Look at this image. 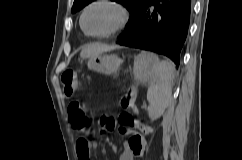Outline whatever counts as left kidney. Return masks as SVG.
I'll use <instances>...</instances> for the list:
<instances>
[{
	"label": "left kidney",
	"mask_w": 242,
	"mask_h": 160,
	"mask_svg": "<svg viewBox=\"0 0 242 160\" xmlns=\"http://www.w3.org/2000/svg\"><path fill=\"white\" fill-rule=\"evenodd\" d=\"M165 107L159 108L155 111H151L149 109V117L151 118L152 121L158 119L163 113H164Z\"/></svg>",
	"instance_id": "1"
}]
</instances>
